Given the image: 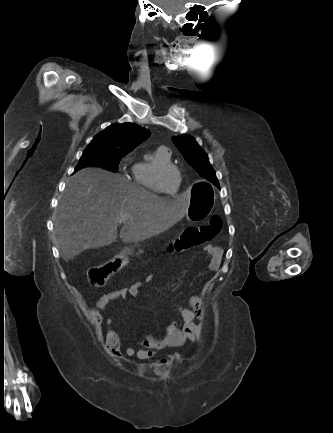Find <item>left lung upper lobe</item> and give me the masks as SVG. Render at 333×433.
<instances>
[{
    "mask_svg": "<svg viewBox=\"0 0 333 433\" xmlns=\"http://www.w3.org/2000/svg\"><path fill=\"white\" fill-rule=\"evenodd\" d=\"M175 146L182 153L186 161L204 178L218 185L216 174L209 163L204 150L190 136H175L172 138Z\"/></svg>",
    "mask_w": 333,
    "mask_h": 433,
    "instance_id": "obj_1",
    "label": "left lung upper lobe"
}]
</instances>
